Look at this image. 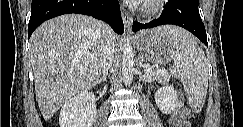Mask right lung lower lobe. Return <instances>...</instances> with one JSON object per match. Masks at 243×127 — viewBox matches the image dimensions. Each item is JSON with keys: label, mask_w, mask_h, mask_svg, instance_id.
Instances as JSON below:
<instances>
[{"label": "right lung lower lobe", "mask_w": 243, "mask_h": 127, "mask_svg": "<svg viewBox=\"0 0 243 127\" xmlns=\"http://www.w3.org/2000/svg\"><path fill=\"white\" fill-rule=\"evenodd\" d=\"M67 13L92 16L107 22L116 33L124 32L118 0H32L28 38L44 21Z\"/></svg>", "instance_id": "1"}]
</instances>
